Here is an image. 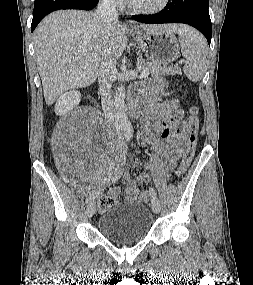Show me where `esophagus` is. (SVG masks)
<instances>
[{"mask_svg":"<svg viewBox=\"0 0 253 285\" xmlns=\"http://www.w3.org/2000/svg\"><path fill=\"white\" fill-rule=\"evenodd\" d=\"M126 27H128L129 29H134L135 28V26L131 22H127L126 23Z\"/></svg>","mask_w":253,"mask_h":285,"instance_id":"obj_1","label":"esophagus"}]
</instances>
